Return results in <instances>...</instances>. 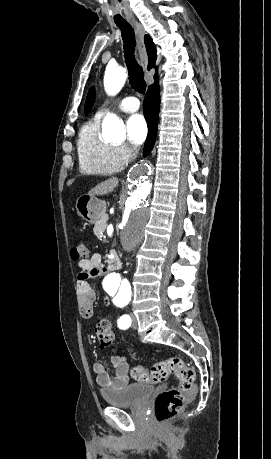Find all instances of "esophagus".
<instances>
[{
    "label": "esophagus",
    "mask_w": 271,
    "mask_h": 459,
    "mask_svg": "<svg viewBox=\"0 0 271 459\" xmlns=\"http://www.w3.org/2000/svg\"><path fill=\"white\" fill-rule=\"evenodd\" d=\"M132 26L135 30L138 47V49L134 51V56L136 57V60L139 62L140 69H149L150 62L146 58V50L144 45L145 30L143 28V25L139 22H133Z\"/></svg>",
    "instance_id": "esophagus-1"
}]
</instances>
